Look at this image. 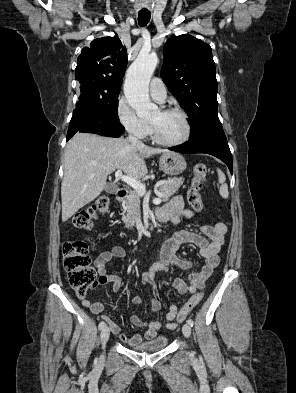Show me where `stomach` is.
<instances>
[{
	"label": "stomach",
	"instance_id": "1",
	"mask_svg": "<svg viewBox=\"0 0 296 393\" xmlns=\"http://www.w3.org/2000/svg\"><path fill=\"white\" fill-rule=\"evenodd\" d=\"M159 166L168 175H179L187 167L184 157L179 153H163L159 159Z\"/></svg>",
	"mask_w": 296,
	"mask_h": 393
}]
</instances>
